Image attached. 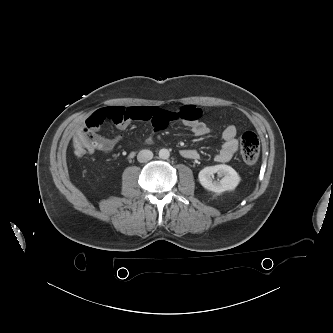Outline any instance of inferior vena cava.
I'll return each mask as SVG.
<instances>
[{"label":"inferior vena cava","mask_w":333,"mask_h":333,"mask_svg":"<svg viewBox=\"0 0 333 333\" xmlns=\"http://www.w3.org/2000/svg\"><path fill=\"white\" fill-rule=\"evenodd\" d=\"M153 158V153L150 150H141L137 155V160L140 163L148 162Z\"/></svg>","instance_id":"inferior-vena-cava-1"}]
</instances>
